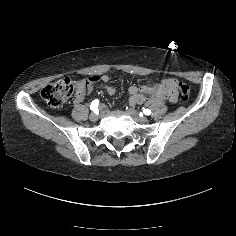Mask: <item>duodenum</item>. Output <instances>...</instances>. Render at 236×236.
<instances>
[{
    "instance_id": "obj_1",
    "label": "duodenum",
    "mask_w": 236,
    "mask_h": 236,
    "mask_svg": "<svg viewBox=\"0 0 236 236\" xmlns=\"http://www.w3.org/2000/svg\"><path fill=\"white\" fill-rule=\"evenodd\" d=\"M136 97V96H135ZM175 98L173 93V88L171 83L165 82L161 87H159L148 99V103H153L159 99L173 101Z\"/></svg>"
}]
</instances>
